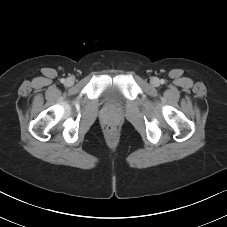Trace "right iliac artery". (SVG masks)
<instances>
[{"label": "right iliac artery", "mask_w": 227, "mask_h": 227, "mask_svg": "<svg viewBox=\"0 0 227 227\" xmlns=\"http://www.w3.org/2000/svg\"><path fill=\"white\" fill-rule=\"evenodd\" d=\"M60 81H61V83H64L65 82V79L62 78Z\"/></svg>", "instance_id": "82829eb1"}]
</instances>
